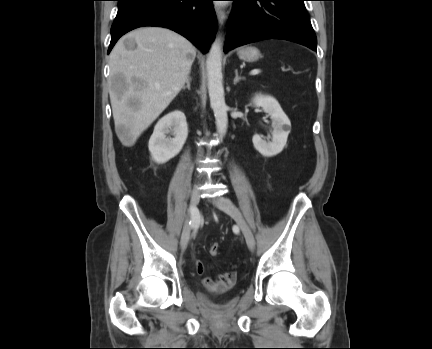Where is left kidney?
<instances>
[{
  "mask_svg": "<svg viewBox=\"0 0 432 349\" xmlns=\"http://www.w3.org/2000/svg\"><path fill=\"white\" fill-rule=\"evenodd\" d=\"M255 106L262 107L272 120V138L271 141L263 140L255 134L252 138L255 149L266 157H272L279 154L285 147L288 135L291 130V123L287 115L282 110L278 101L270 95L257 94L252 99Z\"/></svg>",
  "mask_w": 432,
  "mask_h": 349,
  "instance_id": "5707ae66",
  "label": "left kidney"
}]
</instances>
